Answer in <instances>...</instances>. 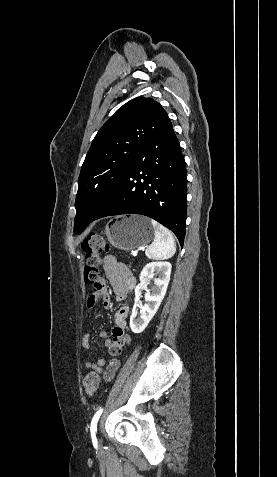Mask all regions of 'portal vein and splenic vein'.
Listing matches in <instances>:
<instances>
[{"mask_svg":"<svg viewBox=\"0 0 277 477\" xmlns=\"http://www.w3.org/2000/svg\"><path fill=\"white\" fill-rule=\"evenodd\" d=\"M132 255H133V256H137V252H136V251H133V252H132Z\"/></svg>","mask_w":277,"mask_h":477,"instance_id":"portal-vein-and-splenic-vein-1","label":"portal vein and splenic vein"}]
</instances>
